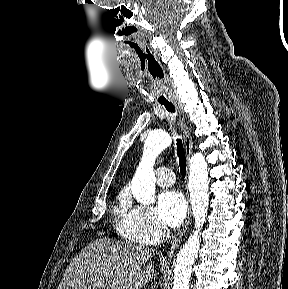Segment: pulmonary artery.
<instances>
[{
	"instance_id": "pulmonary-artery-1",
	"label": "pulmonary artery",
	"mask_w": 288,
	"mask_h": 289,
	"mask_svg": "<svg viewBox=\"0 0 288 289\" xmlns=\"http://www.w3.org/2000/svg\"><path fill=\"white\" fill-rule=\"evenodd\" d=\"M156 179L161 186H171L175 182V175L172 170L160 167L156 171Z\"/></svg>"
}]
</instances>
